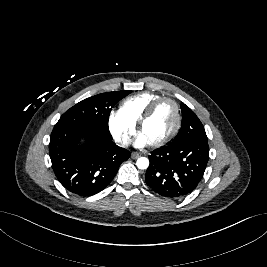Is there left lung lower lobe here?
Returning <instances> with one entry per match:
<instances>
[{
  "label": "left lung lower lobe",
  "instance_id": "0a47b994",
  "mask_svg": "<svg viewBox=\"0 0 267 267\" xmlns=\"http://www.w3.org/2000/svg\"><path fill=\"white\" fill-rule=\"evenodd\" d=\"M208 159V143L187 141L161 147L149 155L146 183L162 197H184L197 187Z\"/></svg>",
  "mask_w": 267,
  "mask_h": 267
}]
</instances>
